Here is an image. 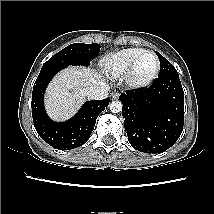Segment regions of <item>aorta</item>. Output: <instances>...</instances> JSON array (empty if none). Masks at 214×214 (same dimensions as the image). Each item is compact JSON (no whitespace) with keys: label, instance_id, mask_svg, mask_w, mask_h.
I'll return each instance as SVG.
<instances>
[{"label":"aorta","instance_id":"762f6f07","mask_svg":"<svg viewBox=\"0 0 214 214\" xmlns=\"http://www.w3.org/2000/svg\"><path fill=\"white\" fill-rule=\"evenodd\" d=\"M111 112L118 113L122 110V103L119 100L112 101L109 105Z\"/></svg>","mask_w":214,"mask_h":214}]
</instances>
